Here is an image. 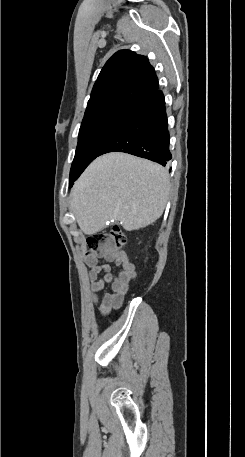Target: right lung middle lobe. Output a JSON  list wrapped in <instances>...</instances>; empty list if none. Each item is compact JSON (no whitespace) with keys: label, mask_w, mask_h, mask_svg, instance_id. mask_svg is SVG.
Wrapping results in <instances>:
<instances>
[{"label":"right lung middle lobe","mask_w":245,"mask_h":457,"mask_svg":"<svg viewBox=\"0 0 245 457\" xmlns=\"http://www.w3.org/2000/svg\"><path fill=\"white\" fill-rule=\"evenodd\" d=\"M129 110L109 109L85 113L78 136V145L70 170V187L97 156L118 129Z\"/></svg>","instance_id":"1"}]
</instances>
